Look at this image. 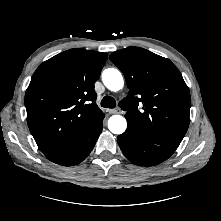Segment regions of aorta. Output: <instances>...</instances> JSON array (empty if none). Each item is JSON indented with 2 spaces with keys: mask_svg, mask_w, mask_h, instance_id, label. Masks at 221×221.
Segmentation results:
<instances>
[{
  "mask_svg": "<svg viewBox=\"0 0 221 221\" xmlns=\"http://www.w3.org/2000/svg\"><path fill=\"white\" fill-rule=\"evenodd\" d=\"M102 81L106 88L117 92L124 86V80L119 70L115 68L105 69L102 73ZM127 128V121L121 115H113L108 120V129L113 134H122Z\"/></svg>",
  "mask_w": 221,
  "mask_h": 221,
  "instance_id": "aorta-1",
  "label": "aorta"
}]
</instances>
